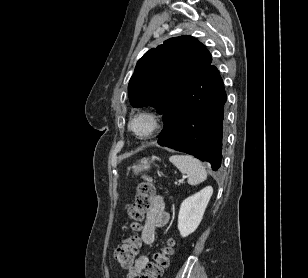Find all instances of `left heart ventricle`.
<instances>
[{
	"label": "left heart ventricle",
	"instance_id": "1",
	"mask_svg": "<svg viewBox=\"0 0 308 278\" xmlns=\"http://www.w3.org/2000/svg\"><path fill=\"white\" fill-rule=\"evenodd\" d=\"M149 127L148 121L145 119H139L134 122L133 128L138 133H144Z\"/></svg>",
	"mask_w": 308,
	"mask_h": 278
}]
</instances>
